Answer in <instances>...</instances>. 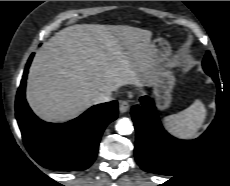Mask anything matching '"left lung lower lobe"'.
Returning <instances> with one entry per match:
<instances>
[{
	"label": "left lung lower lobe",
	"instance_id": "left-lung-lower-lobe-1",
	"mask_svg": "<svg viewBox=\"0 0 230 186\" xmlns=\"http://www.w3.org/2000/svg\"><path fill=\"white\" fill-rule=\"evenodd\" d=\"M217 84V116L209 128L195 140H179L169 135L161 125L154 101L140 98V105L132 107L136 129L135 158L139 166L151 173L173 175L193 159L209 141L222 107V91L218 75L212 77Z\"/></svg>",
	"mask_w": 230,
	"mask_h": 186
}]
</instances>
